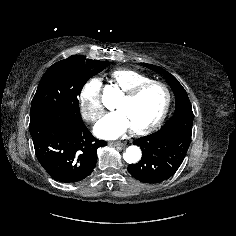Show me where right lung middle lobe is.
Masks as SVG:
<instances>
[{
    "mask_svg": "<svg viewBox=\"0 0 236 236\" xmlns=\"http://www.w3.org/2000/svg\"><path fill=\"white\" fill-rule=\"evenodd\" d=\"M109 62L64 59L50 66L41 78L31 104L30 117L61 115L81 118L78 97L83 85Z\"/></svg>",
    "mask_w": 236,
    "mask_h": 236,
    "instance_id": "obj_1",
    "label": "right lung middle lobe"
}]
</instances>
